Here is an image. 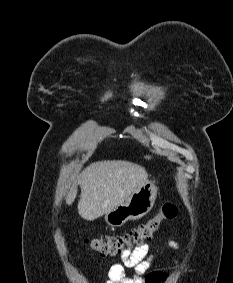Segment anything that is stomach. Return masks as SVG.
I'll list each match as a JSON object with an SVG mask.
<instances>
[{
	"mask_svg": "<svg viewBox=\"0 0 233 283\" xmlns=\"http://www.w3.org/2000/svg\"><path fill=\"white\" fill-rule=\"evenodd\" d=\"M157 197V187L154 181L143 182L127 200L105 213V221L113 227H120L129 220H137L152 209Z\"/></svg>",
	"mask_w": 233,
	"mask_h": 283,
	"instance_id": "stomach-1",
	"label": "stomach"
}]
</instances>
